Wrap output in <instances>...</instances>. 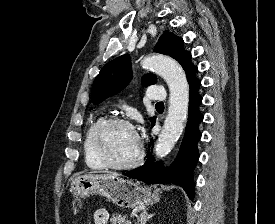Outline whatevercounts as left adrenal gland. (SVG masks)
<instances>
[{
  "instance_id": "1",
  "label": "left adrenal gland",
  "mask_w": 275,
  "mask_h": 224,
  "mask_svg": "<svg viewBox=\"0 0 275 224\" xmlns=\"http://www.w3.org/2000/svg\"><path fill=\"white\" fill-rule=\"evenodd\" d=\"M154 216V214H148L147 210L142 211L140 214V217L138 218L139 224H146V222L151 219Z\"/></svg>"
}]
</instances>
